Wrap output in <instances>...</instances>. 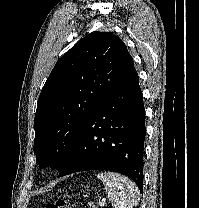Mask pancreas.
<instances>
[{"mask_svg": "<svg viewBox=\"0 0 199 208\" xmlns=\"http://www.w3.org/2000/svg\"><path fill=\"white\" fill-rule=\"evenodd\" d=\"M92 208H98V207H96V206L93 205Z\"/></svg>", "mask_w": 199, "mask_h": 208, "instance_id": "obj_1", "label": "pancreas"}]
</instances>
